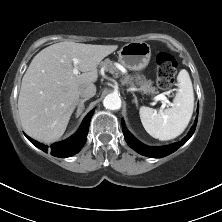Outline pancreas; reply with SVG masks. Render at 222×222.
Returning a JSON list of instances; mask_svg holds the SVG:
<instances>
[{
    "label": "pancreas",
    "instance_id": "pancreas-1",
    "mask_svg": "<svg viewBox=\"0 0 222 222\" xmlns=\"http://www.w3.org/2000/svg\"><path fill=\"white\" fill-rule=\"evenodd\" d=\"M101 67L105 70V71H109L112 74H115L116 76L119 75H123V73H121L118 68L116 67L115 63L109 59H106L104 61L101 62ZM123 84H130L132 85V78H130L129 76L125 75L124 80L122 81ZM140 85V89L145 93H149V94H157L158 92L156 91V88L152 86V82L150 80L148 81H141L139 82Z\"/></svg>",
    "mask_w": 222,
    "mask_h": 222
}]
</instances>
